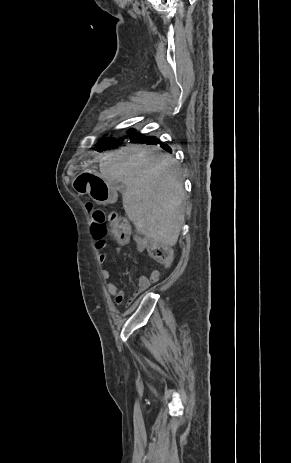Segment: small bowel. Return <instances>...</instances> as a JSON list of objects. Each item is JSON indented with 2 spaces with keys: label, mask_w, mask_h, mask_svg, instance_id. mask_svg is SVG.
Instances as JSON below:
<instances>
[{
  "label": "small bowel",
  "mask_w": 291,
  "mask_h": 463,
  "mask_svg": "<svg viewBox=\"0 0 291 463\" xmlns=\"http://www.w3.org/2000/svg\"><path fill=\"white\" fill-rule=\"evenodd\" d=\"M130 239H132L135 242L137 249L139 251L144 250L141 244L142 237L138 235H133L131 238L127 240H118L119 245L115 248V253H116L117 258L120 256V253H121L120 246L128 243ZM99 260L103 264H105L108 262V257L105 253H100ZM102 276L104 279L107 280L106 288H107L108 293L113 298L114 302L117 305H122L125 300V292L122 289L118 288L113 282L110 281V277H111L110 269L107 267L103 268ZM159 279H160V271L157 269L154 270L149 276L141 275L138 280L137 288L132 298L129 300L128 304L130 305L137 297H139L142 293H144L150 287L151 284L158 282Z\"/></svg>",
  "instance_id": "obj_1"
}]
</instances>
